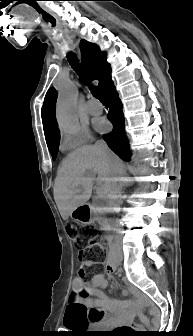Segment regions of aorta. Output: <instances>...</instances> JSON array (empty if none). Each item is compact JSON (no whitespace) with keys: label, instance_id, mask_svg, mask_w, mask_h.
Returning <instances> with one entry per match:
<instances>
[{"label":"aorta","instance_id":"762f6f07","mask_svg":"<svg viewBox=\"0 0 193 336\" xmlns=\"http://www.w3.org/2000/svg\"><path fill=\"white\" fill-rule=\"evenodd\" d=\"M78 88L72 81L61 84L56 103V119L62 131H74L79 127L76 111Z\"/></svg>","mask_w":193,"mask_h":336}]
</instances>
